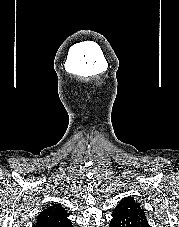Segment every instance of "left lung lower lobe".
I'll list each match as a JSON object with an SVG mask.
<instances>
[{"label":"left lung lower lobe","mask_w":179,"mask_h":227,"mask_svg":"<svg viewBox=\"0 0 179 227\" xmlns=\"http://www.w3.org/2000/svg\"><path fill=\"white\" fill-rule=\"evenodd\" d=\"M109 227H114V224L112 222H110Z\"/></svg>","instance_id":"0a47b994"}]
</instances>
